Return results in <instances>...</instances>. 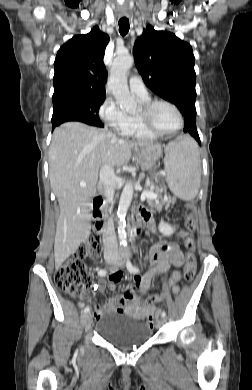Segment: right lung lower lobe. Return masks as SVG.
<instances>
[{
	"label": "right lung lower lobe",
	"mask_w": 252,
	"mask_h": 390,
	"mask_svg": "<svg viewBox=\"0 0 252 390\" xmlns=\"http://www.w3.org/2000/svg\"><path fill=\"white\" fill-rule=\"evenodd\" d=\"M64 122H66V121H64ZM61 123H63V122H59V123L52 124V128L54 129V127L60 125Z\"/></svg>",
	"instance_id": "98d812e1"
}]
</instances>
